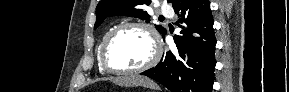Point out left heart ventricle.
I'll return each mask as SVG.
<instances>
[{
  "mask_svg": "<svg viewBox=\"0 0 289 92\" xmlns=\"http://www.w3.org/2000/svg\"><path fill=\"white\" fill-rule=\"evenodd\" d=\"M153 53L148 33L141 28H127L111 43L108 60L116 68H137L146 63Z\"/></svg>",
  "mask_w": 289,
  "mask_h": 92,
  "instance_id": "1",
  "label": "left heart ventricle"
}]
</instances>
